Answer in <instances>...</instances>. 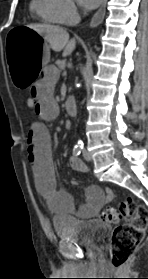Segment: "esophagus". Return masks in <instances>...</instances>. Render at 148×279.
<instances>
[{
  "label": "esophagus",
  "mask_w": 148,
  "mask_h": 279,
  "mask_svg": "<svg viewBox=\"0 0 148 279\" xmlns=\"http://www.w3.org/2000/svg\"><path fill=\"white\" fill-rule=\"evenodd\" d=\"M106 2L107 0H103L100 8L97 10V12L93 15L91 22H90V27L95 28L99 24L102 23L104 16H105V10H106Z\"/></svg>",
  "instance_id": "esophagus-1"
}]
</instances>
